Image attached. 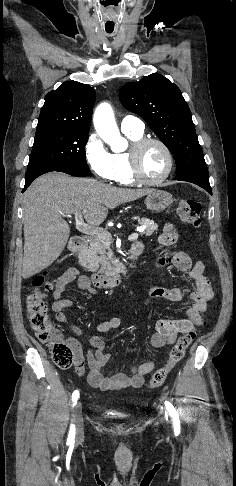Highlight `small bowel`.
Returning a JSON list of instances; mask_svg holds the SVG:
<instances>
[{"label": "small bowel", "mask_w": 236, "mask_h": 486, "mask_svg": "<svg viewBox=\"0 0 236 486\" xmlns=\"http://www.w3.org/2000/svg\"><path fill=\"white\" fill-rule=\"evenodd\" d=\"M179 240L180 235L176 227L173 224H167L164 231L158 236L157 243L161 246H172L177 245ZM136 245L139 246L141 253L143 244L137 243ZM168 265H173L178 270L188 273L189 277L194 281L195 290L190 295L192 305L185 311L183 318L161 319L156 323V332L150 338V343L153 348L171 345L175 342L179 334L192 331L195 324L199 322L201 314L205 312L207 303L214 296L209 279L204 275V264L201 261H193L189 254L179 250L173 254H165L156 260L153 273L149 280L148 297L143 303L144 306L149 305L156 299L172 302L183 300L184 294L181 288H165L153 283L154 275L158 274ZM75 280H77L78 286L81 289H90V284L85 276H81L79 271L74 267L68 268L56 280L52 310L57 322L69 324L75 334L82 335L81 329L71 324L68 316L64 312L66 308L72 307L74 302L71 299L62 298L68 285ZM123 321L124 319L122 317H113L99 323L97 325V331L104 333L118 328ZM68 343L74 352V367L77 373L83 374L85 364H87L89 368L87 375L89 385L102 391H121L129 388H139L143 385L145 376L155 368L153 361H147L138 366L131 367L128 373H115L106 376L102 370L108 364L110 354L105 350V344L98 335L88 337L90 349L86 353H84L77 339L70 337L68 338Z\"/></svg>", "instance_id": "small-bowel-1"}]
</instances>
